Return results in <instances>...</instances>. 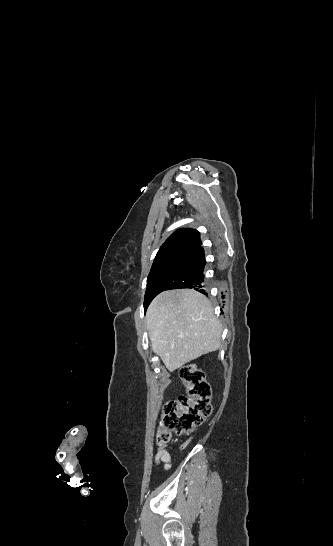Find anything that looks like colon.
I'll return each instance as SVG.
<instances>
[{"instance_id":"5ec220e1","label":"colon","mask_w":333,"mask_h":546,"mask_svg":"<svg viewBox=\"0 0 333 546\" xmlns=\"http://www.w3.org/2000/svg\"><path fill=\"white\" fill-rule=\"evenodd\" d=\"M186 388V395L171 400L163 410L157 432V444L165 447L173 434H189L201 426L210 416L211 388L204 372L193 364H186L179 371Z\"/></svg>"}]
</instances>
